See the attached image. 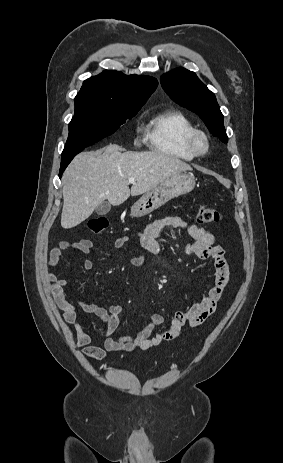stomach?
Masks as SVG:
<instances>
[{
	"label": "stomach",
	"instance_id": "obj_1",
	"mask_svg": "<svg viewBox=\"0 0 283 463\" xmlns=\"http://www.w3.org/2000/svg\"><path fill=\"white\" fill-rule=\"evenodd\" d=\"M195 179L193 175L180 173L173 175L144 195L131 207L133 217H143L158 209L169 200L182 194L189 193L194 189Z\"/></svg>",
	"mask_w": 283,
	"mask_h": 463
}]
</instances>
